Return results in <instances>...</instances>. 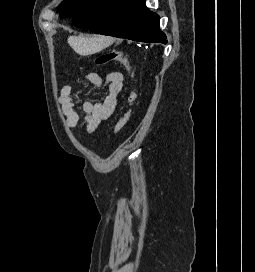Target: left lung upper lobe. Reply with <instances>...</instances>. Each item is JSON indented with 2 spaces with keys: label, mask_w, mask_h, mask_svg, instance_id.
<instances>
[{
  "label": "left lung upper lobe",
  "mask_w": 255,
  "mask_h": 272,
  "mask_svg": "<svg viewBox=\"0 0 255 272\" xmlns=\"http://www.w3.org/2000/svg\"><path fill=\"white\" fill-rule=\"evenodd\" d=\"M90 0H64L59 6L60 17L66 18L74 15L83 8Z\"/></svg>",
  "instance_id": "left-lung-upper-lobe-1"
}]
</instances>
